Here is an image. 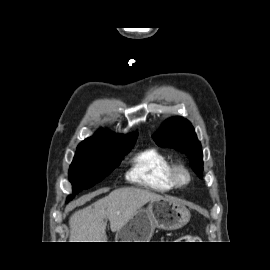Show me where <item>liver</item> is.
I'll list each match as a JSON object with an SVG mask.
<instances>
[{
  "instance_id": "6515ba94",
  "label": "liver",
  "mask_w": 270,
  "mask_h": 270,
  "mask_svg": "<svg viewBox=\"0 0 270 270\" xmlns=\"http://www.w3.org/2000/svg\"><path fill=\"white\" fill-rule=\"evenodd\" d=\"M93 195H91L92 197ZM162 198L149 190L125 187L112 191L69 219L70 242H105L106 220L112 232L123 227L149 201Z\"/></svg>"
}]
</instances>
